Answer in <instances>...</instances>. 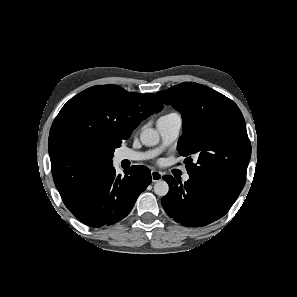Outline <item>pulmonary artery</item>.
<instances>
[{"label":"pulmonary artery","instance_id":"e3ab8cb5","mask_svg":"<svg viewBox=\"0 0 297 297\" xmlns=\"http://www.w3.org/2000/svg\"><path fill=\"white\" fill-rule=\"evenodd\" d=\"M182 127V120L179 115H166L158 120V130L162 137V145L155 149L147 152H136V151H123L118 155V160L128 161H142L150 159L157 155L166 146L173 143L180 135ZM184 181L189 180V175L183 176Z\"/></svg>","mask_w":297,"mask_h":297}]
</instances>
